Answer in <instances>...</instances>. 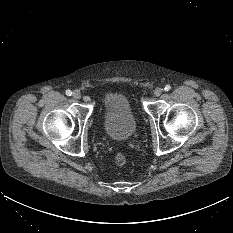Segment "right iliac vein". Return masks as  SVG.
<instances>
[{
  "instance_id": "1",
  "label": "right iliac vein",
  "mask_w": 233,
  "mask_h": 233,
  "mask_svg": "<svg viewBox=\"0 0 233 233\" xmlns=\"http://www.w3.org/2000/svg\"><path fill=\"white\" fill-rule=\"evenodd\" d=\"M73 97H74L75 99H80V98H81V93H80L79 91H74V92H73Z\"/></svg>"
}]
</instances>
